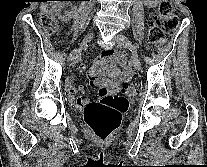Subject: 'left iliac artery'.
<instances>
[{"instance_id": "obj_1", "label": "left iliac artery", "mask_w": 207, "mask_h": 167, "mask_svg": "<svg viewBox=\"0 0 207 167\" xmlns=\"http://www.w3.org/2000/svg\"><path fill=\"white\" fill-rule=\"evenodd\" d=\"M132 50L137 51V47H136V46H133V47H132Z\"/></svg>"}]
</instances>
